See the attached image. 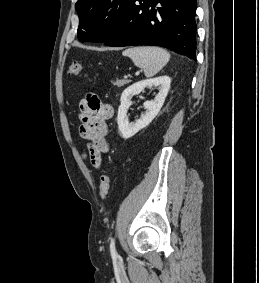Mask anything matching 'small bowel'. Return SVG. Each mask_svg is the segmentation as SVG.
<instances>
[{"label": "small bowel", "mask_w": 259, "mask_h": 283, "mask_svg": "<svg viewBox=\"0 0 259 283\" xmlns=\"http://www.w3.org/2000/svg\"><path fill=\"white\" fill-rule=\"evenodd\" d=\"M114 109L94 94H88L79 103V134L87 141L86 158L92 166L101 167V156L109 151L107 143V121L113 117Z\"/></svg>", "instance_id": "small-bowel-1"}]
</instances>
